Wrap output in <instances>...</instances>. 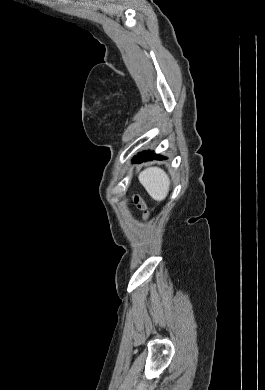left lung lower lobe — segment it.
<instances>
[{"label": "left lung lower lobe", "mask_w": 265, "mask_h": 390, "mask_svg": "<svg viewBox=\"0 0 265 390\" xmlns=\"http://www.w3.org/2000/svg\"><path fill=\"white\" fill-rule=\"evenodd\" d=\"M154 159H166L163 156L155 154L153 151H143L133 158V162L141 163L142 161H150Z\"/></svg>", "instance_id": "left-lung-lower-lobe-1"}]
</instances>
